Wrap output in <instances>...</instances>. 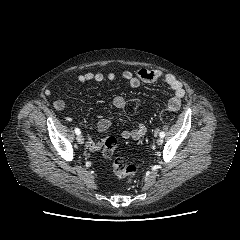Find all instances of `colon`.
Masks as SVG:
<instances>
[{"label":"colon","instance_id":"1","mask_svg":"<svg viewBox=\"0 0 240 240\" xmlns=\"http://www.w3.org/2000/svg\"><path fill=\"white\" fill-rule=\"evenodd\" d=\"M139 105L138 99H131L126 102L125 109L128 112L134 111ZM159 117L163 122H170L174 117V112L169 108H163L159 112ZM117 140L114 137H108L103 141L102 154L106 158H111L115 153ZM112 169L114 174L120 178L125 179L130 183L136 175L137 168L133 164L127 163L123 158H115L112 162Z\"/></svg>","mask_w":240,"mask_h":240}]
</instances>
